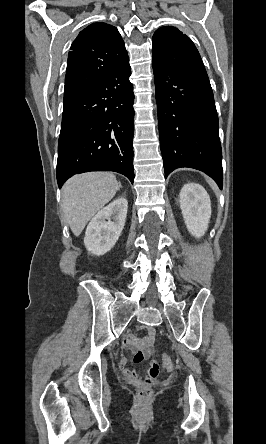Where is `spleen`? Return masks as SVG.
Listing matches in <instances>:
<instances>
[{"label": "spleen", "instance_id": "1", "mask_svg": "<svg viewBox=\"0 0 266 444\" xmlns=\"http://www.w3.org/2000/svg\"><path fill=\"white\" fill-rule=\"evenodd\" d=\"M207 181H208V183L211 185V187L213 188V190L216 191V186H215V184H214L211 180H207Z\"/></svg>", "mask_w": 266, "mask_h": 444}]
</instances>
